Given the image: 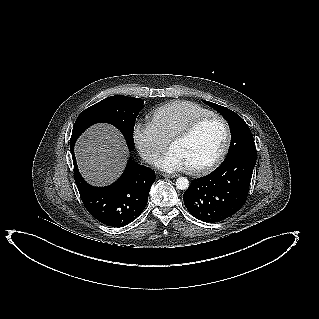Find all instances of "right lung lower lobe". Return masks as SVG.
<instances>
[{
  "label": "right lung lower lobe",
  "mask_w": 319,
  "mask_h": 319,
  "mask_svg": "<svg viewBox=\"0 0 319 319\" xmlns=\"http://www.w3.org/2000/svg\"><path fill=\"white\" fill-rule=\"evenodd\" d=\"M74 144L75 142H70L74 179L88 212L99 222L111 227H122L135 220L146 207L150 188L155 181V172L129 160L122 176L112 185L91 186L78 171Z\"/></svg>",
  "instance_id": "right-lung-lower-lobe-1"
}]
</instances>
